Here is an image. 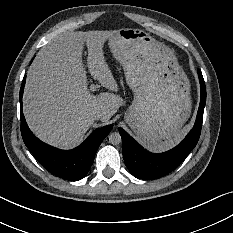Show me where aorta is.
<instances>
[{"label": "aorta", "instance_id": "obj_1", "mask_svg": "<svg viewBox=\"0 0 233 233\" xmlns=\"http://www.w3.org/2000/svg\"><path fill=\"white\" fill-rule=\"evenodd\" d=\"M108 138L109 142L113 145H117L121 142V135L119 132H111Z\"/></svg>", "mask_w": 233, "mask_h": 233}]
</instances>
